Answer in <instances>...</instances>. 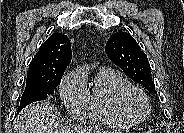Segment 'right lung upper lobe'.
<instances>
[{
    "label": "right lung upper lobe",
    "instance_id": "cb5924a9",
    "mask_svg": "<svg viewBox=\"0 0 184 133\" xmlns=\"http://www.w3.org/2000/svg\"><path fill=\"white\" fill-rule=\"evenodd\" d=\"M71 58L68 37L62 33H53L30 62L26 82H47L62 77Z\"/></svg>",
    "mask_w": 184,
    "mask_h": 133
}]
</instances>
